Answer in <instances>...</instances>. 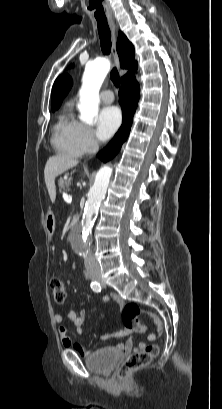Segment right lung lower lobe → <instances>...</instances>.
<instances>
[{
	"label": "right lung lower lobe",
	"mask_w": 222,
	"mask_h": 409,
	"mask_svg": "<svg viewBox=\"0 0 222 409\" xmlns=\"http://www.w3.org/2000/svg\"><path fill=\"white\" fill-rule=\"evenodd\" d=\"M121 83L122 87L119 93V102L123 111V123L110 143L98 154L104 162L112 159L121 149L123 142L128 138L133 115L140 97L139 85L134 75L128 77Z\"/></svg>",
	"instance_id": "1"
}]
</instances>
